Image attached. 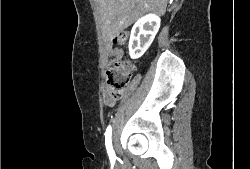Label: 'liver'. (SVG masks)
<instances>
[{
  "label": "liver",
  "mask_w": 250,
  "mask_h": 169,
  "mask_svg": "<svg viewBox=\"0 0 250 169\" xmlns=\"http://www.w3.org/2000/svg\"><path fill=\"white\" fill-rule=\"evenodd\" d=\"M99 12L101 32L105 42H111L123 28H127L145 12L164 14L167 0H95Z\"/></svg>",
  "instance_id": "1"
}]
</instances>
